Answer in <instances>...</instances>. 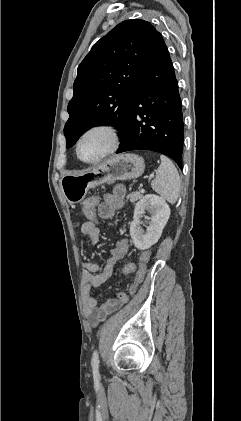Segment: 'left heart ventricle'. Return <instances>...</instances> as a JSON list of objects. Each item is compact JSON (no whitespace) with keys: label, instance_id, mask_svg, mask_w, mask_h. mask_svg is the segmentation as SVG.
<instances>
[{"label":"left heart ventricle","instance_id":"b2bd125f","mask_svg":"<svg viewBox=\"0 0 241 421\" xmlns=\"http://www.w3.org/2000/svg\"><path fill=\"white\" fill-rule=\"evenodd\" d=\"M109 146V137L104 132L88 134L80 144V155L90 160L101 155Z\"/></svg>","mask_w":241,"mask_h":421}]
</instances>
